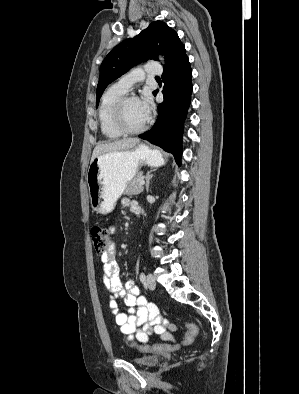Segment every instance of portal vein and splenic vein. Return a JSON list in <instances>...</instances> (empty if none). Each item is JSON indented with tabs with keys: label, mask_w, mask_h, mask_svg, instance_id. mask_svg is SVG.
I'll return each instance as SVG.
<instances>
[{
	"label": "portal vein and splenic vein",
	"mask_w": 299,
	"mask_h": 394,
	"mask_svg": "<svg viewBox=\"0 0 299 394\" xmlns=\"http://www.w3.org/2000/svg\"><path fill=\"white\" fill-rule=\"evenodd\" d=\"M144 184H145V181H144V180H141V181H140V185L143 186Z\"/></svg>",
	"instance_id": "portal-vein-and-splenic-vein-1"
}]
</instances>
